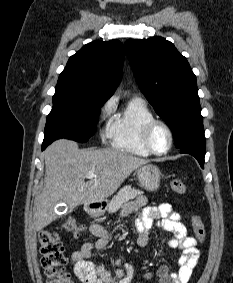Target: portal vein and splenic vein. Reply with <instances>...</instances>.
Segmentation results:
<instances>
[{
    "mask_svg": "<svg viewBox=\"0 0 233 283\" xmlns=\"http://www.w3.org/2000/svg\"><path fill=\"white\" fill-rule=\"evenodd\" d=\"M86 177L87 178H94V177H96V175L93 172H90V173L86 174Z\"/></svg>",
    "mask_w": 233,
    "mask_h": 283,
    "instance_id": "portal-vein-and-splenic-vein-1",
    "label": "portal vein and splenic vein"
}]
</instances>
